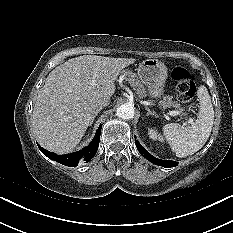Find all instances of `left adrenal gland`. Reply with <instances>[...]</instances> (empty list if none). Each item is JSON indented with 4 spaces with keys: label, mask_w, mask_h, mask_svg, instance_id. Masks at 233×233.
<instances>
[{
    "label": "left adrenal gland",
    "mask_w": 233,
    "mask_h": 233,
    "mask_svg": "<svg viewBox=\"0 0 233 233\" xmlns=\"http://www.w3.org/2000/svg\"><path fill=\"white\" fill-rule=\"evenodd\" d=\"M146 110H147V116L152 115L158 117V115L154 111H151L148 107H146Z\"/></svg>",
    "instance_id": "1"
}]
</instances>
